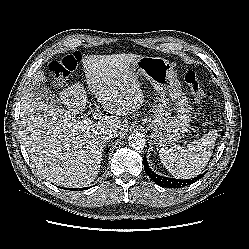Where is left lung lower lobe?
I'll return each mask as SVG.
<instances>
[{"label": "left lung lower lobe", "mask_w": 249, "mask_h": 249, "mask_svg": "<svg viewBox=\"0 0 249 249\" xmlns=\"http://www.w3.org/2000/svg\"><path fill=\"white\" fill-rule=\"evenodd\" d=\"M143 163H144V169L146 174L159 186L161 187H165V188H180V187H184L190 184H193L194 182H196L197 180H199L200 178H202L205 173L198 175L195 178L192 179H186V180H181V179H175V178H168V177H163L160 176L156 173H154L148 166V162L144 156L143 158Z\"/></svg>", "instance_id": "obj_1"}]
</instances>
